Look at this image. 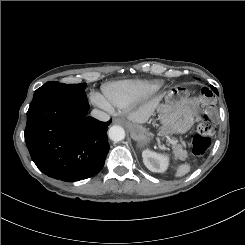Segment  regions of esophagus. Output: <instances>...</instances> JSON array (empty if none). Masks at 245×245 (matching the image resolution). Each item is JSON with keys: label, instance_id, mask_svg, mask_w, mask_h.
Returning a JSON list of instances; mask_svg holds the SVG:
<instances>
[{"label": "esophagus", "instance_id": "esophagus-1", "mask_svg": "<svg viewBox=\"0 0 245 245\" xmlns=\"http://www.w3.org/2000/svg\"><path fill=\"white\" fill-rule=\"evenodd\" d=\"M113 123H114V124H123L124 121H123L122 119H120V118H114V119H113Z\"/></svg>", "mask_w": 245, "mask_h": 245}]
</instances>
